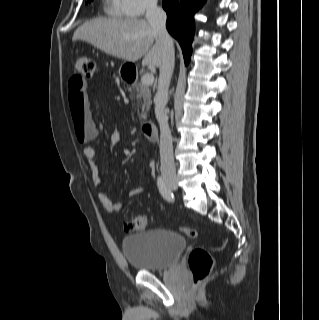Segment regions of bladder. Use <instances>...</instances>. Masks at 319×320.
I'll return each instance as SVG.
<instances>
[{
    "label": "bladder",
    "mask_w": 319,
    "mask_h": 320,
    "mask_svg": "<svg viewBox=\"0 0 319 320\" xmlns=\"http://www.w3.org/2000/svg\"><path fill=\"white\" fill-rule=\"evenodd\" d=\"M186 247L187 241L179 232L154 229L125 237L122 252L134 269L157 272L174 266Z\"/></svg>",
    "instance_id": "31cf9c89"
}]
</instances>
